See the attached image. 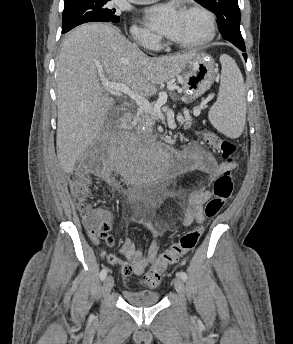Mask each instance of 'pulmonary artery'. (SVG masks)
Here are the masks:
<instances>
[{
	"instance_id": "obj_1",
	"label": "pulmonary artery",
	"mask_w": 293,
	"mask_h": 344,
	"mask_svg": "<svg viewBox=\"0 0 293 344\" xmlns=\"http://www.w3.org/2000/svg\"><path fill=\"white\" fill-rule=\"evenodd\" d=\"M130 1L133 3H136V4H147V3H151V2L156 1V0H130Z\"/></svg>"
}]
</instances>
